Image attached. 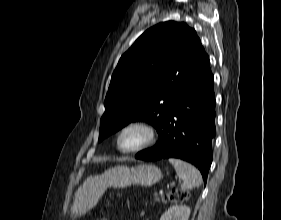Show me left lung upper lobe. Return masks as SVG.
Here are the masks:
<instances>
[{
	"label": "left lung upper lobe",
	"instance_id": "left-lung-upper-lobe-1",
	"mask_svg": "<svg viewBox=\"0 0 281 220\" xmlns=\"http://www.w3.org/2000/svg\"><path fill=\"white\" fill-rule=\"evenodd\" d=\"M196 31L167 21L145 31L120 58L101 118L99 142L133 121L160 131L181 82L205 56Z\"/></svg>",
	"mask_w": 281,
	"mask_h": 220
}]
</instances>
